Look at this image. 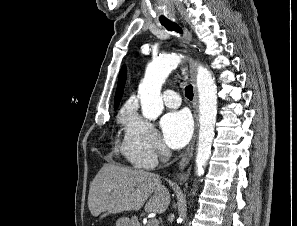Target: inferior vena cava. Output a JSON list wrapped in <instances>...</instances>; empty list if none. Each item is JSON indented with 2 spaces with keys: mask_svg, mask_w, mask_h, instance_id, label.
I'll return each instance as SVG.
<instances>
[{
  "mask_svg": "<svg viewBox=\"0 0 297 226\" xmlns=\"http://www.w3.org/2000/svg\"><path fill=\"white\" fill-rule=\"evenodd\" d=\"M170 157L171 151L167 147L163 146L160 151V161L162 163H166L170 159Z\"/></svg>",
  "mask_w": 297,
  "mask_h": 226,
  "instance_id": "inferior-vena-cava-1",
  "label": "inferior vena cava"
}]
</instances>
